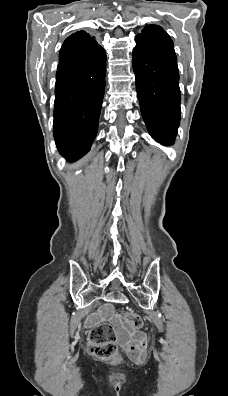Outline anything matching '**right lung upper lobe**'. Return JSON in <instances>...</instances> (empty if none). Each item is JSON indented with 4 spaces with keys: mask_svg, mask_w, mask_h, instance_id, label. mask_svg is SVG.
Segmentation results:
<instances>
[{
    "mask_svg": "<svg viewBox=\"0 0 228 396\" xmlns=\"http://www.w3.org/2000/svg\"><path fill=\"white\" fill-rule=\"evenodd\" d=\"M72 41L77 50H91L97 43L94 37L85 31H79L69 36L65 42ZM64 42V43H65Z\"/></svg>",
    "mask_w": 228,
    "mask_h": 396,
    "instance_id": "1",
    "label": "right lung upper lobe"
}]
</instances>
